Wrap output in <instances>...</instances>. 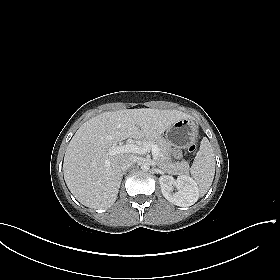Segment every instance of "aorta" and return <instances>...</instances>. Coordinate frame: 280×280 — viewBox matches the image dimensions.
<instances>
[{"instance_id":"1","label":"aorta","mask_w":280,"mask_h":280,"mask_svg":"<svg viewBox=\"0 0 280 280\" xmlns=\"http://www.w3.org/2000/svg\"><path fill=\"white\" fill-rule=\"evenodd\" d=\"M149 168H150V165H149L148 162H143V163L141 164V169H142L143 171H148Z\"/></svg>"}]
</instances>
